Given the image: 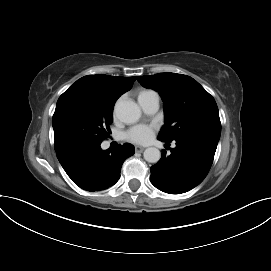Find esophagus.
<instances>
[{
  "label": "esophagus",
  "instance_id": "obj_1",
  "mask_svg": "<svg viewBox=\"0 0 271 271\" xmlns=\"http://www.w3.org/2000/svg\"><path fill=\"white\" fill-rule=\"evenodd\" d=\"M144 147H142V146H135V151L136 152H138V153H141V152H143L144 151Z\"/></svg>",
  "mask_w": 271,
  "mask_h": 271
}]
</instances>
